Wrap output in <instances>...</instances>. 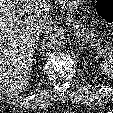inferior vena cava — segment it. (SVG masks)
I'll return each instance as SVG.
<instances>
[{"instance_id": "inferior-vena-cava-1", "label": "inferior vena cava", "mask_w": 113, "mask_h": 113, "mask_svg": "<svg viewBox=\"0 0 113 113\" xmlns=\"http://www.w3.org/2000/svg\"><path fill=\"white\" fill-rule=\"evenodd\" d=\"M43 32H45V28H37L35 31V35L36 37H38L40 34H42Z\"/></svg>"}]
</instances>
